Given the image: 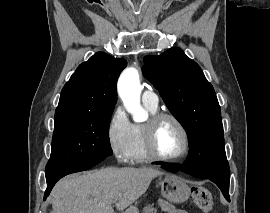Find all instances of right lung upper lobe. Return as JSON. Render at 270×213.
Masks as SVG:
<instances>
[{
    "label": "right lung upper lobe",
    "mask_w": 270,
    "mask_h": 213,
    "mask_svg": "<svg viewBox=\"0 0 270 213\" xmlns=\"http://www.w3.org/2000/svg\"><path fill=\"white\" fill-rule=\"evenodd\" d=\"M126 60L97 52L78 66L61 91L55 114L108 113L117 100L116 83Z\"/></svg>",
    "instance_id": "1"
}]
</instances>
